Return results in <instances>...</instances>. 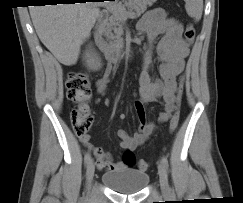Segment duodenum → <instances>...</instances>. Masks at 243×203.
I'll list each match as a JSON object with an SVG mask.
<instances>
[{"label":"duodenum","instance_id":"1","mask_svg":"<svg viewBox=\"0 0 243 203\" xmlns=\"http://www.w3.org/2000/svg\"><path fill=\"white\" fill-rule=\"evenodd\" d=\"M106 12H101L94 28V39L99 50L104 54L106 60L110 63H117L122 60H130L134 53L125 48V46L108 45L102 33V25L106 21Z\"/></svg>","mask_w":243,"mask_h":203}]
</instances>
